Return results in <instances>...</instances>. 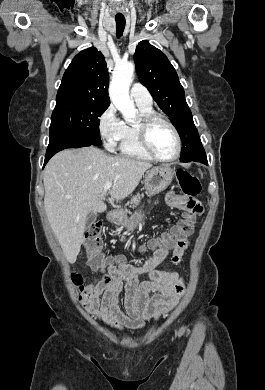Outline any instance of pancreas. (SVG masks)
<instances>
[{"instance_id":"1","label":"pancreas","mask_w":265,"mask_h":390,"mask_svg":"<svg viewBox=\"0 0 265 390\" xmlns=\"http://www.w3.org/2000/svg\"><path fill=\"white\" fill-rule=\"evenodd\" d=\"M140 201H141V196L138 194L131 199V204H133V207H134V206H137L140 203ZM127 213H128V210L124 209L123 214L126 215Z\"/></svg>"}]
</instances>
